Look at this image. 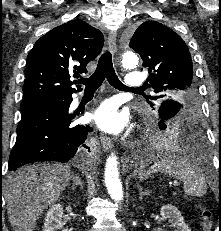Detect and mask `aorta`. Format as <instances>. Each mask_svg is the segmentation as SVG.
Masks as SVG:
<instances>
[{
    "instance_id": "1",
    "label": "aorta",
    "mask_w": 221,
    "mask_h": 231,
    "mask_svg": "<svg viewBox=\"0 0 221 231\" xmlns=\"http://www.w3.org/2000/svg\"><path fill=\"white\" fill-rule=\"evenodd\" d=\"M139 58L132 50L123 52L121 64L124 68L133 69L138 65ZM105 185L111 198L120 202L123 199V188L119 179L118 161L115 154H111L105 165Z\"/></svg>"
}]
</instances>
